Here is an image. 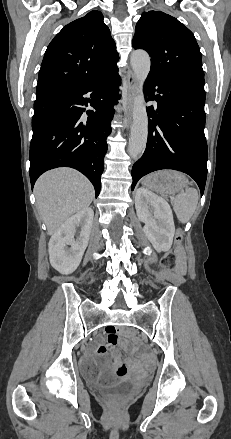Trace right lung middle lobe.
<instances>
[{"instance_id": "1", "label": "right lung middle lobe", "mask_w": 231, "mask_h": 439, "mask_svg": "<svg viewBox=\"0 0 231 439\" xmlns=\"http://www.w3.org/2000/svg\"><path fill=\"white\" fill-rule=\"evenodd\" d=\"M49 112H50V108H48V107H46V108H42V107L34 108V115L41 116V115L49 113Z\"/></svg>"}]
</instances>
